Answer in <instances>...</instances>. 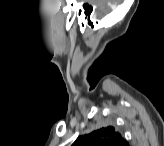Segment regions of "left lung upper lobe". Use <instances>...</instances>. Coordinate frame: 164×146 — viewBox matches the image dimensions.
I'll list each match as a JSON object with an SVG mask.
<instances>
[{"label": "left lung upper lobe", "mask_w": 164, "mask_h": 146, "mask_svg": "<svg viewBox=\"0 0 164 146\" xmlns=\"http://www.w3.org/2000/svg\"><path fill=\"white\" fill-rule=\"evenodd\" d=\"M72 146H128V144L113 127H106L79 136Z\"/></svg>", "instance_id": "left-lung-upper-lobe-1"}]
</instances>
